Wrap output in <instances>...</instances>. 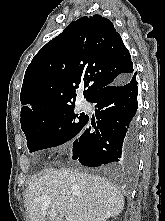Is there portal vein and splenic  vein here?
Segmentation results:
<instances>
[{
	"label": "portal vein and splenic vein",
	"mask_w": 165,
	"mask_h": 221,
	"mask_svg": "<svg viewBox=\"0 0 165 221\" xmlns=\"http://www.w3.org/2000/svg\"><path fill=\"white\" fill-rule=\"evenodd\" d=\"M49 215H50L51 218H54V219L57 217V214H56L55 210H51L49 212ZM66 221H73V219L71 217H66Z\"/></svg>",
	"instance_id": "1"
}]
</instances>
